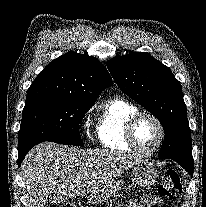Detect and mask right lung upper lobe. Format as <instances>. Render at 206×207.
I'll return each instance as SVG.
<instances>
[{"instance_id":"1","label":"right lung upper lobe","mask_w":206,"mask_h":207,"mask_svg":"<svg viewBox=\"0 0 206 207\" xmlns=\"http://www.w3.org/2000/svg\"><path fill=\"white\" fill-rule=\"evenodd\" d=\"M111 85L108 71L96 58L68 52L38 74L26 101L56 98L93 105L102 90Z\"/></svg>"}]
</instances>
